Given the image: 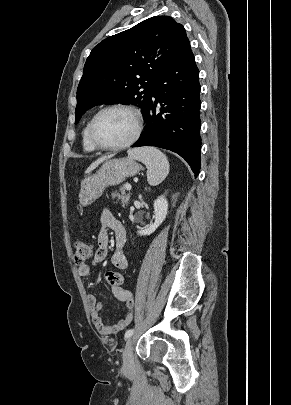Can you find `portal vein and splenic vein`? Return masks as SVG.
<instances>
[{
  "label": "portal vein and splenic vein",
  "mask_w": 291,
  "mask_h": 405,
  "mask_svg": "<svg viewBox=\"0 0 291 405\" xmlns=\"http://www.w3.org/2000/svg\"><path fill=\"white\" fill-rule=\"evenodd\" d=\"M125 188H126L128 191H130V190L132 189V186H131L130 184H127V185L125 186Z\"/></svg>",
  "instance_id": "obj_1"
}]
</instances>
